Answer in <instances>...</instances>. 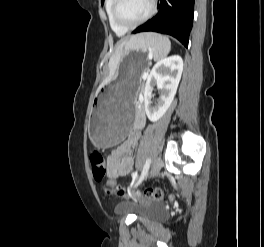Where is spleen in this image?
Returning <instances> with one entry per match:
<instances>
[{"label":"spleen","mask_w":264,"mask_h":247,"mask_svg":"<svg viewBox=\"0 0 264 247\" xmlns=\"http://www.w3.org/2000/svg\"><path fill=\"white\" fill-rule=\"evenodd\" d=\"M134 50L149 51L154 60H159L168 55L171 49V42L168 37L156 34L146 33L135 41Z\"/></svg>","instance_id":"1"}]
</instances>
